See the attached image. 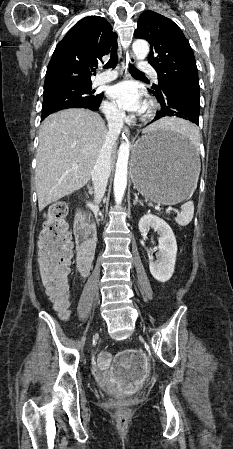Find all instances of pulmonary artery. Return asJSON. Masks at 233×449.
<instances>
[{
	"label": "pulmonary artery",
	"instance_id": "1",
	"mask_svg": "<svg viewBox=\"0 0 233 449\" xmlns=\"http://www.w3.org/2000/svg\"><path fill=\"white\" fill-rule=\"evenodd\" d=\"M139 67L148 72L151 77L153 78L154 81L158 80V76L157 73L154 71V69L147 63H141L139 65ZM117 72L116 71H108V72H102L100 74H98L95 79H94V84L95 85H102L108 82L113 81L114 79L117 78Z\"/></svg>",
	"mask_w": 233,
	"mask_h": 449
}]
</instances>
